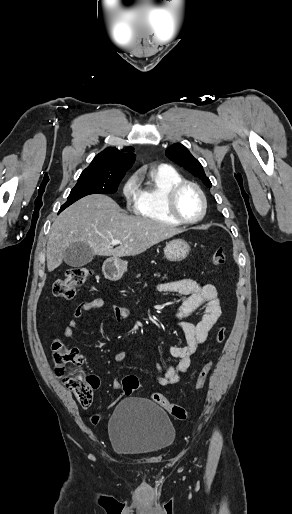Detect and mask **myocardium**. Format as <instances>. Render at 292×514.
<instances>
[{
	"mask_svg": "<svg viewBox=\"0 0 292 514\" xmlns=\"http://www.w3.org/2000/svg\"><path fill=\"white\" fill-rule=\"evenodd\" d=\"M184 188H192L193 190H195L200 199V204H201L200 213H199L198 217H196L195 219H192V220L184 219L178 213L177 208H176L177 195ZM163 203H164V208H165V211L167 212V214L178 224H186V225L196 224L204 218V216L206 214V210H207V203H206V198H205L203 190L201 189V187L199 185H197L193 182H190V181H180L177 184L173 185L172 187L168 188L164 193Z\"/></svg>",
	"mask_w": 292,
	"mask_h": 514,
	"instance_id": "myocardium-1",
	"label": "myocardium"
}]
</instances>
